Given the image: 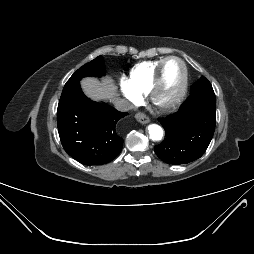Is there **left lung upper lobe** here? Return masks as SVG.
Returning <instances> with one entry per match:
<instances>
[{
    "mask_svg": "<svg viewBox=\"0 0 254 254\" xmlns=\"http://www.w3.org/2000/svg\"><path fill=\"white\" fill-rule=\"evenodd\" d=\"M189 97H209L215 98V94L210 82L202 76L197 82L191 86Z\"/></svg>",
    "mask_w": 254,
    "mask_h": 254,
    "instance_id": "obj_1",
    "label": "left lung upper lobe"
}]
</instances>
